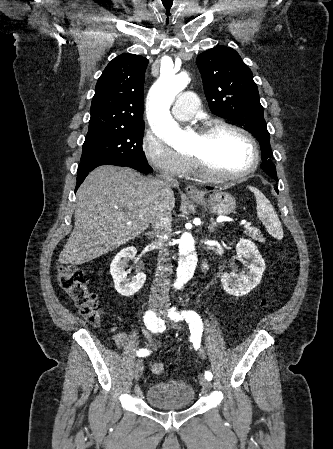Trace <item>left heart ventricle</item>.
I'll use <instances>...</instances> for the list:
<instances>
[{
    "label": "left heart ventricle",
    "instance_id": "b2bd125f",
    "mask_svg": "<svg viewBox=\"0 0 333 449\" xmlns=\"http://www.w3.org/2000/svg\"><path fill=\"white\" fill-rule=\"evenodd\" d=\"M188 153L200 157L216 174H233L246 169L253 160L249 142L229 130L215 131L210 135H196Z\"/></svg>",
    "mask_w": 333,
    "mask_h": 449
}]
</instances>
